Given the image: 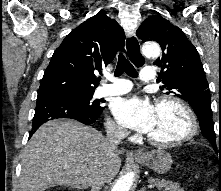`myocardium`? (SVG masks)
Returning <instances> with one entry per match:
<instances>
[{"label": "myocardium", "mask_w": 221, "mask_h": 191, "mask_svg": "<svg viewBox=\"0 0 221 191\" xmlns=\"http://www.w3.org/2000/svg\"><path fill=\"white\" fill-rule=\"evenodd\" d=\"M165 103L174 104L178 106L185 113L187 120H188L187 131L183 136L175 140H157L147 135L148 142L155 146L167 148V147L180 146L192 140L198 132V120L191 106L179 97H176L173 95H163L157 99L156 107Z\"/></svg>", "instance_id": "f54148a6"}]
</instances>
